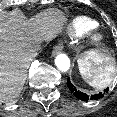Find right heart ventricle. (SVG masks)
<instances>
[{"label":"right heart ventricle","instance_id":"obj_1","mask_svg":"<svg viewBox=\"0 0 117 117\" xmlns=\"http://www.w3.org/2000/svg\"><path fill=\"white\" fill-rule=\"evenodd\" d=\"M96 26H98V22L96 20L87 16L79 15L70 20L67 25V30L72 36H80Z\"/></svg>","mask_w":117,"mask_h":117}]
</instances>
